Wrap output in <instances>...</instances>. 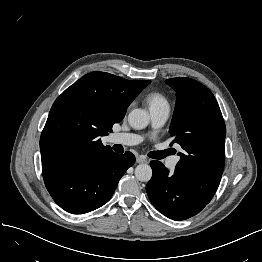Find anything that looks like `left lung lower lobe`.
Instances as JSON below:
<instances>
[{
    "mask_svg": "<svg viewBox=\"0 0 262 262\" xmlns=\"http://www.w3.org/2000/svg\"><path fill=\"white\" fill-rule=\"evenodd\" d=\"M153 176L146 186L150 202L166 217L185 220L198 214L208 204L185 181L159 161H151Z\"/></svg>",
    "mask_w": 262,
    "mask_h": 262,
    "instance_id": "left-lung-lower-lobe-1",
    "label": "left lung lower lobe"
}]
</instances>
